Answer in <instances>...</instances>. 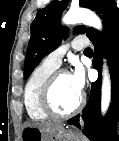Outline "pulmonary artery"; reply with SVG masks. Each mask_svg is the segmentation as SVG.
<instances>
[{"label":"pulmonary artery","mask_w":119,"mask_h":141,"mask_svg":"<svg viewBox=\"0 0 119 141\" xmlns=\"http://www.w3.org/2000/svg\"><path fill=\"white\" fill-rule=\"evenodd\" d=\"M88 46V42L82 39H75L70 43H65L53 52H51L46 58L45 62L55 68H58L61 65L62 58L69 48L80 50Z\"/></svg>","instance_id":"1"}]
</instances>
